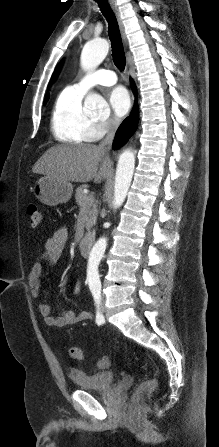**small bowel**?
<instances>
[{"label": "small bowel", "mask_w": 219, "mask_h": 447, "mask_svg": "<svg viewBox=\"0 0 219 447\" xmlns=\"http://www.w3.org/2000/svg\"><path fill=\"white\" fill-rule=\"evenodd\" d=\"M67 238V230L63 227L59 228L55 231L53 236L46 241L45 249L36 256L28 276V285L33 297H38L40 294L44 264L53 265L60 260ZM80 289V283L76 282L73 287V293L78 295ZM39 311L46 325L52 328L71 326L92 318L90 312H74L72 310H62L57 316H53L51 307L46 303H41L39 305Z\"/></svg>", "instance_id": "c3829d8e"}]
</instances>
